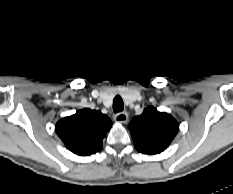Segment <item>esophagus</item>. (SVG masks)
<instances>
[{
    "mask_svg": "<svg viewBox=\"0 0 233 194\" xmlns=\"http://www.w3.org/2000/svg\"><path fill=\"white\" fill-rule=\"evenodd\" d=\"M114 119L118 123H126L128 121V114L126 112L117 113Z\"/></svg>",
    "mask_w": 233,
    "mask_h": 194,
    "instance_id": "34e87169",
    "label": "esophagus"
}]
</instances>
